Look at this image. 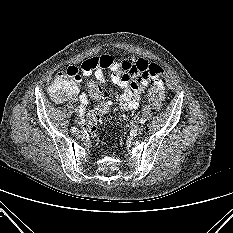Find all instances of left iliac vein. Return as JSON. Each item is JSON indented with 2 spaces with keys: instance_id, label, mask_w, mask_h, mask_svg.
<instances>
[{
  "instance_id": "4c4485c4",
  "label": "left iliac vein",
  "mask_w": 233,
  "mask_h": 233,
  "mask_svg": "<svg viewBox=\"0 0 233 233\" xmlns=\"http://www.w3.org/2000/svg\"><path fill=\"white\" fill-rule=\"evenodd\" d=\"M145 130V127L144 126H139L137 129H136V133L137 134H142Z\"/></svg>"
}]
</instances>
